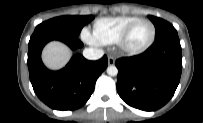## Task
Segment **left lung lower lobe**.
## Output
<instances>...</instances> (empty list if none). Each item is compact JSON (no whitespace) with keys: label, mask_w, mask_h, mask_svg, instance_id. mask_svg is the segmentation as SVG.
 <instances>
[{"label":"left lung lower lobe","mask_w":203,"mask_h":123,"mask_svg":"<svg viewBox=\"0 0 203 123\" xmlns=\"http://www.w3.org/2000/svg\"><path fill=\"white\" fill-rule=\"evenodd\" d=\"M117 91L131 107L154 111L174 95L182 72V51L177 33L167 34L142 54L116 61Z\"/></svg>","instance_id":"1"}]
</instances>
